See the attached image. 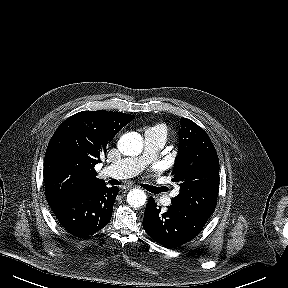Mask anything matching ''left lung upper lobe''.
<instances>
[{"mask_svg": "<svg viewBox=\"0 0 288 288\" xmlns=\"http://www.w3.org/2000/svg\"><path fill=\"white\" fill-rule=\"evenodd\" d=\"M179 148L171 181L180 186L172 204L210 217L219 192V159L206 132L193 121L182 118Z\"/></svg>", "mask_w": 288, "mask_h": 288, "instance_id": "obj_1", "label": "left lung upper lobe"}]
</instances>
